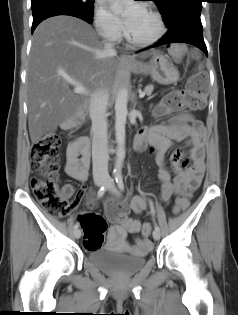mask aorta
Masks as SVG:
<instances>
[{
    "label": "aorta",
    "mask_w": 238,
    "mask_h": 315,
    "mask_svg": "<svg viewBox=\"0 0 238 315\" xmlns=\"http://www.w3.org/2000/svg\"><path fill=\"white\" fill-rule=\"evenodd\" d=\"M128 91L126 87L119 89L115 101V136L118 144L115 173L120 174L125 157V125L128 114Z\"/></svg>",
    "instance_id": "obj_1"
}]
</instances>
